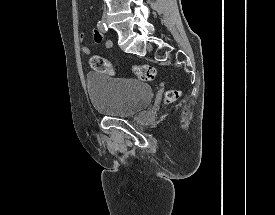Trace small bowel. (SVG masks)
<instances>
[{
  "label": "small bowel",
  "mask_w": 275,
  "mask_h": 215,
  "mask_svg": "<svg viewBox=\"0 0 275 215\" xmlns=\"http://www.w3.org/2000/svg\"><path fill=\"white\" fill-rule=\"evenodd\" d=\"M92 36H93V39H94V41L96 42V43H100L101 41H102V39H103V34H102V31L100 30V29H95V30H93V32H92ZM85 38V34L84 33H81L80 35H79V39L80 40H83ZM113 46V42L111 41V40H107L106 42H105V47L106 48H111ZM81 53L82 54H84V55H90L91 54V51H90V49L88 48V47H86V46H83V47H81Z\"/></svg>",
  "instance_id": "small-bowel-1"
}]
</instances>
